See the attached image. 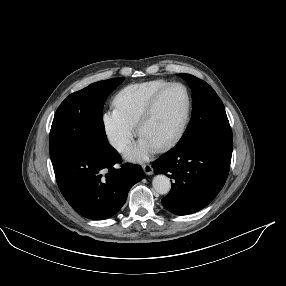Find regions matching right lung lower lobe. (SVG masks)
<instances>
[{
    "instance_id": "98d812e1",
    "label": "right lung lower lobe",
    "mask_w": 286,
    "mask_h": 286,
    "mask_svg": "<svg viewBox=\"0 0 286 286\" xmlns=\"http://www.w3.org/2000/svg\"><path fill=\"white\" fill-rule=\"evenodd\" d=\"M119 160L117 152L113 157H103L89 150H77L52 162L60 191L77 213L103 220L123 206L128 191L144 173L131 164L115 169ZM106 171L105 179L102 173Z\"/></svg>"
}]
</instances>
